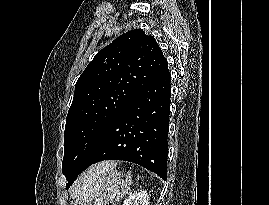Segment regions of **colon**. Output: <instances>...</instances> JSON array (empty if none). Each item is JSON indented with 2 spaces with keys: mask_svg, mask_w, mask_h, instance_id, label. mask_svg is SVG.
Masks as SVG:
<instances>
[{
  "mask_svg": "<svg viewBox=\"0 0 269 205\" xmlns=\"http://www.w3.org/2000/svg\"><path fill=\"white\" fill-rule=\"evenodd\" d=\"M107 205H115V204L110 203V204H107Z\"/></svg>",
  "mask_w": 269,
  "mask_h": 205,
  "instance_id": "1",
  "label": "colon"
}]
</instances>
